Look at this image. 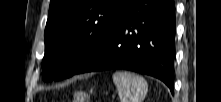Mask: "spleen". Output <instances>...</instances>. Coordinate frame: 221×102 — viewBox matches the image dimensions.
I'll list each match as a JSON object with an SVG mask.
<instances>
[{
    "label": "spleen",
    "mask_w": 221,
    "mask_h": 102,
    "mask_svg": "<svg viewBox=\"0 0 221 102\" xmlns=\"http://www.w3.org/2000/svg\"><path fill=\"white\" fill-rule=\"evenodd\" d=\"M121 102H143L148 85L146 80L134 73L116 71L112 76Z\"/></svg>",
    "instance_id": "obj_1"
}]
</instances>
